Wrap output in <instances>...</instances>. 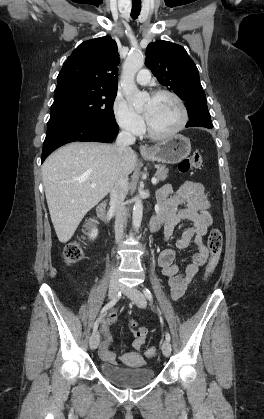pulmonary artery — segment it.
<instances>
[{
	"label": "pulmonary artery",
	"mask_w": 264,
	"mask_h": 419,
	"mask_svg": "<svg viewBox=\"0 0 264 419\" xmlns=\"http://www.w3.org/2000/svg\"><path fill=\"white\" fill-rule=\"evenodd\" d=\"M151 78L150 71L148 69H141L136 75V82L140 85H146L149 83Z\"/></svg>",
	"instance_id": "obj_1"
}]
</instances>
